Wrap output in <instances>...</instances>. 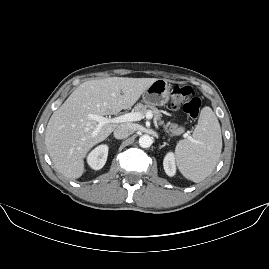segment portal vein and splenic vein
Returning <instances> with one entry per match:
<instances>
[{
  "label": "portal vein and splenic vein",
  "instance_id": "18ae733b",
  "mask_svg": "<svg viewBox=\"0 0 269 269\" xmlns=\"http://www.w3.org/2000/svg\"><path fill=\"white\" fill-rule=\"evenodd\" d=\"M88 118L98 122L97 127L95 128V130L92 132L91 135L92 137H95L102 128V126H104L105 124L140 121L143 118H145V120L147 121H150L153 119V114L147 112L145 113V115H143L141 112H130L115 118H106L96 114H88ZM183 137L188 138L190 141L194 142V139L189 135V132L184 133Z\"/></svg>",
  "mask_w": 269,
  "mask_h": 269
}]
</instances>
